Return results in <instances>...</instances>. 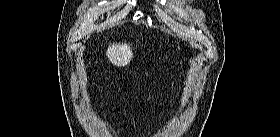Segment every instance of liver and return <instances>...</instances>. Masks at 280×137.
<instances>
[{
  "label": "liver",
  "mask_w": 280,
  "mask_h": 137,
  "mask_svg": "<svg viewBox=\"0 0 280 137\" xmlns=\"http://www.w3.org/2000/svg\"><path fill=\"white\" fill-rule=\"evenodd\" d=\"M106 56L113 65L126 66L133 58V53L130 46L126 43H113L110 44Z\"/></svg>",
  "instance_id": "liver-1"
}]
</instances>
